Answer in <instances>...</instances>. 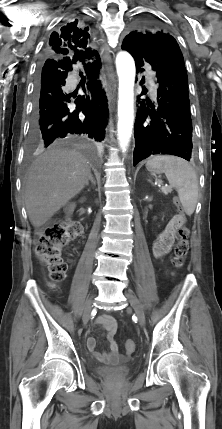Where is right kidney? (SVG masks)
<instances>
[{"mask_svg":"<svg viewBox=\"0 0 222 429\" xmlns=\"http://www.w3.org/2000/svg\"><path fill=\"white\" fill-rule=\"evenodd\" d=\"M81 201H84V199H82ZM76 205L75 203H70L67 205V207L65 208V211L68 215H71L75 209Z\"/></svg>","mask_w":222,"mask_h":429,"instance_id":"right-kidney-1","label":"right kidney"}]
</instances>
